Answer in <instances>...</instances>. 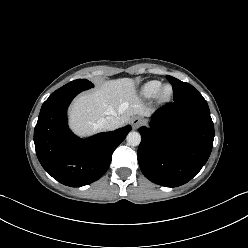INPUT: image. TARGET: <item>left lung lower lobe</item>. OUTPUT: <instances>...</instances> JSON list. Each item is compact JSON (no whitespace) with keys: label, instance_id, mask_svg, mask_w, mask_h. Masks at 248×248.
Here are the masks:
<instances>
[{"label":"left lung lower lobe","instance_id":"obj_1","mask_svg":"<svg viewBox=\"0 0 248 248\" xmlns=\"http://www.w3.org/2000/svg\"><path fill=\"white\" fill-rule=\"evenodd\" d=\"M138 162L152 182L177 187L190 181L207 162L214 125L206 100L189 98L157 110L150 128L141 127Z\"/></svg>","mask_w":248,"mask_h":248}]
</instances>
